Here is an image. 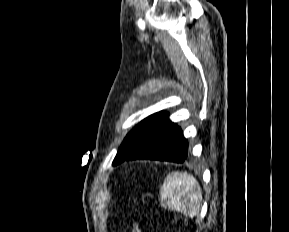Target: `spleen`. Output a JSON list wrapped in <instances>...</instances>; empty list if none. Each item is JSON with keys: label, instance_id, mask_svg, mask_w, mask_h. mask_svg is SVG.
Segmentation results:
<instances>
[{"label": "spleen", "instance_id": "3e777b00", "mask_svg": "<svg viewBox=\"0 0 289 232\" xmlns=\"http://www.w3.org/2000/svg\"><path fill=\"white\" fill-rule=\"evenodd\" d=\"M161 205L186 217L199 214L202 190L196 178L186 171L169 173L160 189Z\"/></svg>", "mask_w": 289, "mask_h": 232}]
</instances>
